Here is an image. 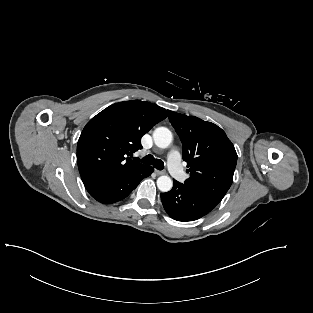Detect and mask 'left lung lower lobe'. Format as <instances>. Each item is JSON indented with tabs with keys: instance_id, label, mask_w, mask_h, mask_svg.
Listing matches in <instances>:
<instances>
[{
	"instance_id": "left-lung-lower-lobe-1",
	"label": "left lung lower lobe",
	"mask_w": 313,
	"mask_h": 313,
	"mask_svg": "<svg viewBox=\"0 0 313 313\" xmlns=\"http://www.w3.org/2000/svg\"><path fill=\"white\" fill-rule=\"evenodd\" d=\"M161 200L168 215L183 222L194 221L205 216L220 202L176 180L171 191L161 193Z\"/></svg>"
}]
</instances>
